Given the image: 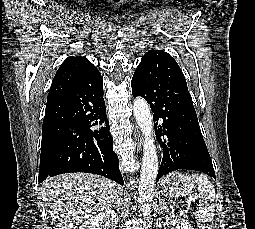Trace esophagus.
I'll return each instance as SVG.
<instances>
[{"label": "esophagus", "instance_id": "obj_1", "mask_svg": "<svg viewBox=\"0 0 255 229\" xmlns=\"http://www.w3.org/2000/svg\"><path fill=\"white\" fill-rule=\"evenodd\" d=\"M135 139H136L137 144H138V149L140 150L141 145H142V136H141L139 131L135 132Z\"/></svg>", "mask_w": 255, "mask_h": 229}]
</instances>
